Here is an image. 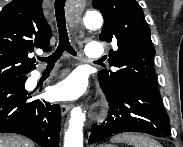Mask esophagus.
Masks as SVG:
<instances>
[{"label": "esophagus", "mask_w": 183, "mask_h": 147, "mask_svg": "<svg viewBox=\"0 0 183 147\" xmlns=\"http://www.w3.org/2000/svg\"><path fill=\"white\" fill-rule=\"evenodd\" d=\"M71 106H72L71 104L62 103L61 104V113H62V115L67 114L70 111Z\"/></svg>", "instance_id": "obj_1"}]
</instances>
